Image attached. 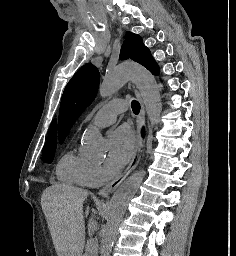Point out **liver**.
<instances>
[{
	"label": "liver",
	"instance_id": "1",
	"mask_svg": "<svg viewBox=\"0 0 236 256\" xmlns=\"http://www.w3.org/2000/svg\"><path fill=\"white\" fill-rule=\"evenodd\" d=\"M87 190L54 184L42 194L41 206L46 216L57 256H82L85 244L84 218L89 216V206L83 214Z\"/></svg>",
	"mask_w": 236,
	"mask_h": 256
}]
</instances>
